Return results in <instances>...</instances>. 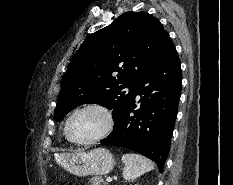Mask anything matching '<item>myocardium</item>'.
Returning a JSON list of instances; mask_svg holds the SVG:
<instances>
[{"label": "myocardium", "mask_w": 233, "mask_h": 185, "mask_svg": "<svg viewBox=\"0 0 233 185\" xmlns=\"http://www.w3.org/2000/svg\"><path fill=\"white\" fill-rule=\"evenodd\" d=\"M85 110H98L101 113H103L105 118H106V125H105L104 129L96 136H94L90 139H87V140H77V139L73 138L71 133H70V123H71L72 118L77 113H79L81 111H85ZM113 128H114V116H113L112 111L108 107H106L105 105H102L99 103H91V104L83 105V106L77 108L76 110H74L67 118L64 130H65L66 137L72 143H75L78 145H89V144H94L96 142H99V141L105 139L112 132Z\"/></svg>", "instance_id": "obj_1"}]
</instances>
